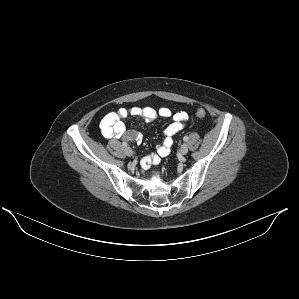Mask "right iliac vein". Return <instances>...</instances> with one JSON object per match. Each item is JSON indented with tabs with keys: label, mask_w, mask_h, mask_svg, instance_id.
Returning a JSON list of instances; mask_svg holds the SVG:
<instances>
[{
	"label": "right iliac vein",
	"mask_w": 299,
	"mask_h": 299,
	"mask_svg": "<svg viewBox=\"0 0 299 299\" xmlns=\"http://www.w3.org/2000/svg\"><path fill=\"white\" fill-rule=\"evenodd\" d=\"M125 153H126V155L127 156H129V157H131V156H133V150L130 148V147H126L125 148Z\"/></svg>",
	"instance_id": "63e3f726"
}]
</instances>
